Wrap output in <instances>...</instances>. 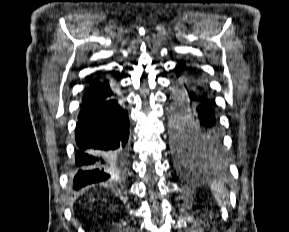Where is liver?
<instances>
[{"label":"liver","instance_id":"6515ba94","mask_svg":"<svg viewBox=\"0 0 289 232\" xmlns=\"http://www.w3.org/2000/svg\"><path fill=\"white\" fill-rule=\"evenodd\" d=\"M83 191H85V189H83V190L81 191V193H82Z\"/></svg>","mask_w":289,"mask_h":232}]
</instances>
